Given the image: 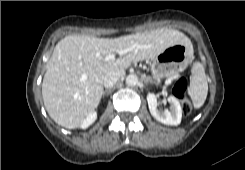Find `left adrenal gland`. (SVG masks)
<instances>
[{
  "label": "left adrenal gland",
  "instance_id": "1",
  "mask_svg": "<svg viewBox=\"0 0 245 170\" xmlns=\"http://www.w3.org/2000/svg\"><path fill=\"white\" fill-rule=\"evenodd\" d=\"M144 82L147 85L149 82H151V80L149 78H147V77H144Z\"/></svg>",
  "mask_w": 245,
  "mask_h": 170
}]
</instances>
